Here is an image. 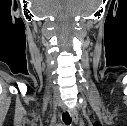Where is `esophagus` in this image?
Returning <instances> with one entry per match:
<instances>
[{"instance_id":"34e87169","label":"esophagus","mask_w":127,"mask_h":126,"mask_svg":"<svg viewBox=\"0 0 127 126\" xmlns=\"http://www.w3.org/2000/svg\"><path fill=\"white\" fill-rule=\"evenodd\" d=\"M69 114H70L73 122L77 124L78 123V119H79L77 111L74 110V109H71V110H69Z\"/></svg>"}]
</instances>
